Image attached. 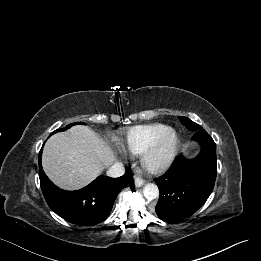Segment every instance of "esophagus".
<instances>
[{"instance_id":"esophagus-1","label":"esophagus","mask_w":261,"mask_h":261,"mask_svg":"<svg viewBox=\"0 0 261 261\" xmlns=\"http://www.w3.org/2000/svg\"><path fill=\"white\" fill-rule=\"evenodd\" d=\"M145 184V180L141 179V178H136L135 179V185L136 187H142Z\"/></svg>"}]
</instances>
